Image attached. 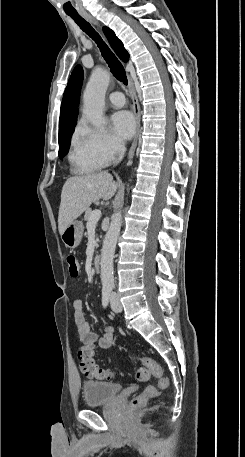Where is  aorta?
I'll use <instances>...</instances> for the list:
<instances>
[{
  "label": "aorta",
  "instance_id": "obj_1",
  "mask_svg": "<svg viewBox=\"0 0 245 457\" xmlns=\"http://www.w3.org/2000/svg\"><path fill=\"white\" fill-rule=\"evenodd\" d=\"M110 81V75L101 68H95L84 91V109L86 118L95 127H101L104 122V97ZM122 215L116 212L112 216L109 229L105 235L101 250V281L103 286L114 285L113 261L117 239L121 229Z\"/></svg>",
  "mask_w": 245,
  "mask_h": 457
}]
</instances>
